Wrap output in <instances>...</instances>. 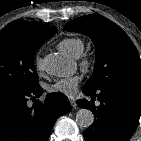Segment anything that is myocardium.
Returning a JSON list of instances; mask_svg holds the SVG:
<instances>
[{
	"label": "myocardium",
	"instance_id": "obj_1",
	"mask_svg": "<svg viewBox=\"0 0 141 141\" xmlns=\"http://www.w3.org/2000/svg\"><path fill=\"white\" fill-rule=\"evenodd\" d=\"M78 63H79L81 70L84 72H88L93 65V61L91 57L87 54H81L78 57Z\"/></svg>",
	"mask_w": 141,
	"mask_h": 141
}]
</instances>
